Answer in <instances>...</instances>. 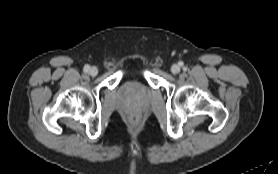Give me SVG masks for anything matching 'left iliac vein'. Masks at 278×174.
<instances>
[{"instance_id":"4c4485c4","label":"left iliac vein","mask_w":278,"mask_h":174,"mask_svg":"<svg viewBox=\"0 0 278 174\" xmlns=\"http://www.w3.org/2000/svg\"><path fill=\"white\" fill-rule=\"evenodd\" d=\"M171 72L173 74H178L180 72V67L177 64L172 65Z\"/></svg>"}]
</instances>
